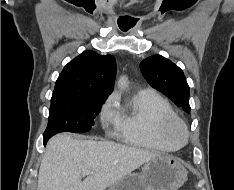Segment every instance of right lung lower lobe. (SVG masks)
<instances>
[{
	"instance_id": "98d812e1",
	"label": "right lung lower lobe",
	"mask_w": 234,
	"mask_h": 190,
	"mask_svg": "<svg viewBox=\"0 0 234 190\" xmlns=\"http://www.w3.org/2000/svg\"><path fill=\"white\" fill-rule=\"evenodd\" d=\"M48 140H49V138H44V145H46Z\"/></svg>"
}]
</instances>
